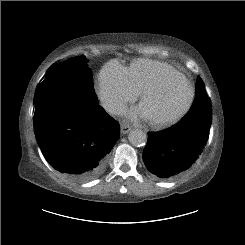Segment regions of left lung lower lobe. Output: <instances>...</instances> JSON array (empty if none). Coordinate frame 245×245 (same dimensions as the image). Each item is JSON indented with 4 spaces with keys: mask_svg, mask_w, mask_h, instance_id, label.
I'll return each instance as SVG.
<instances>
[{
    "mask_svg": "<svg viewBox=\"0 0 245 245\" xmlns=\"http://www.w3.org/2000/svg\"><path fill=\"white\" fill-rule=\"evenodd\" d=\"M204 92L202 82L197 84L196 96ZM201 99L209 98L203 95ZM199 104L204 105V102L200 101ZM209 131L210 119L203 123H177L161 132H149V140L143 152L147 169L163 179H171L185 172L203 152Z\"/></svg>",
    "mask_w": 245,
    "mask_h": 245,
    "instance_id": "left-lung-lower-lobe-1",
    "label": "left lung lower lobe"
}]
</instances>
